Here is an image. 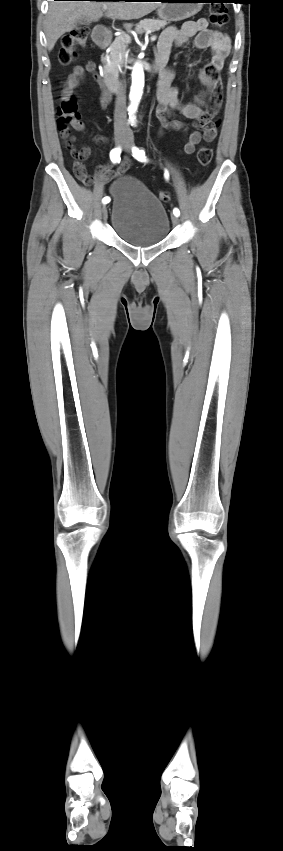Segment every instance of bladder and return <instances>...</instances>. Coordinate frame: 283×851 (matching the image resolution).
Instances as JSON below:
<instances>
[{
  "label": "bladder",
  "instance_id": "obj_1",
  "mask_svg": "<svg viewBox=\"0 0 283 851\" xmlns=\"http://www.w3.org/2000/svg\"><path fill=\"white\" fill-rule=\"evenodd\" d=\"M111 224L115 233L136 247L162 242L170 229L164 205L141 181L125 175L112 185Z\"/></svg>",
  "mask_w": 283,
  "mask_h": 851
}]
</instances>
